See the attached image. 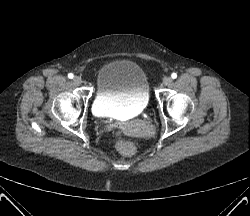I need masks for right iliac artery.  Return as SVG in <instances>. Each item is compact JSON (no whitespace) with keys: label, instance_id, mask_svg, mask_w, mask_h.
Segmentation results:
<instances>
[{"label":"right iliac artery","instance_id":"right-iliac-artery-1","mask_svg":"<svg viewBox=\"0 0 250 216\" xmlns=\"http://www.w3.org/2000/svg\"><path fill=\"white\" fill-rule=\"evenodd\" d=\"M73 77H74V75H73L72 73H69V74H68V78H69V79H72Z\"/></svg>","mask_w":250,"mask_h":216}]
</instances>
